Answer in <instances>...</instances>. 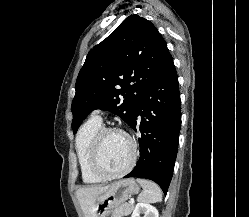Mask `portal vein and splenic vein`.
I'll list each match as a JSON object with an SVG mask.
<instances>
[{
  "instance_id": "1",
  "label": "portal vein and splenic vein",
  "mask_w": 249,
  "mask_h": 217,
  "mask_svg": "<svg viewBox=\"0 0 249 217\" xmlns=\"http://www.w3.org/2000/svg\"><path fill=\"white\" fill-rule=\"evenodd\" d=\"M134 203V200H130V204H133Z\"/></svg>"
}]
</instances>
